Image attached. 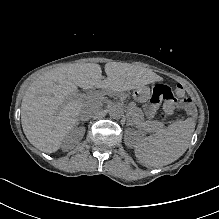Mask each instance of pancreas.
Wrapping results in <instances>:
<instances>
[{"instance_id":"obj_1","label":"pancreas","mask_w":219,"mask_h":219,"mask_svg":"<svg viewBox=\"0 0 219 219\" xmlns=\"http://www.w3.org/2000/svg\"><path fill=\"white\" fill-rule=\"evenodd\" d=\"M128 121L130 123H134L135 126H143L151 133L158 132L162 130V126L160 123L155 121H145L144 114L142 110L137 109L135 105H129L127 107Z\"/></svg>"}]
</instances>
